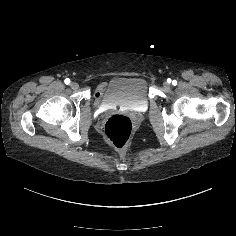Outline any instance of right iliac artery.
<instances>
[{
	"mask_svg": "<svg viewBox=\"0 0 236 236\" xmlns=\"http://www.w3.org/2000/svg\"><path fill=\"white\" fill-rule=\"evenodd\" d=\"M64 82H65V84H70V79L69 78H66L65 80H64Z\"/></svg>",
	"mask_w": 236,
	"mask_h": 236,
	"instance_id": "82829eb1",
	"label": "right iliac artery"
}]
</instances>
